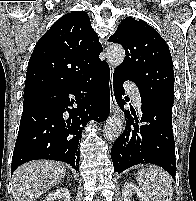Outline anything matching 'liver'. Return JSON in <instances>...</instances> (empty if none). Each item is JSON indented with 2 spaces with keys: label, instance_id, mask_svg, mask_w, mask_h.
<instances>
[{
  "label": "liver",
  "instance_id": "liver-1",
  "mask_svg": "<svg viewBox=\"0 0 196 201\" xmlns=\"http://www.w3.org/2000/svg\"><path fill=\"white\" fill-rule=\"evenodd\" d=\"M65 175L66 168L60 162L35 160L21 165L12 178L14 201H35Z\"/></svg>",
  "mask_w": 196,
  "mask_h": 201
}]
</instances>
